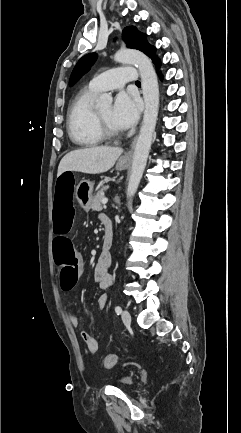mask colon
Masks as SVG:
<instances>
[{"label":"colon","mask_w":241,"mask_h":433,"mask_svg":"<svg viewBox=\"0 0 241 433\" xmlns=\"http://www.w3.org/2000/svg\"><path fill=\"white\" fill-rule=\"evenodd\" d=\"M74 173L60 172L56 178V192L54 193L52 208L54 213L55 236L52 239V252H55V260L61 268V281L64 290H71L75 284L79 257L73 247L68 229L73 224V207H70L71 195L74 194ZM116 355L107 354L102 359L106 368H112L116 364Z\"/></svg>","instance_id":"obj_1"}]
</instances>
